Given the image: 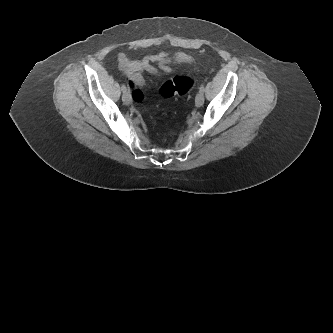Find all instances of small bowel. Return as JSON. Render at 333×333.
Masks as SVG:
<instances>
[{
	"label": "small bowel",
	"mask_w": 333,
	"mask_h": 333,
	"mask_svg": "<svg viewBox=\"0 0 333 333\" xmlns=\"http://www.w3.org/2000/svg\"><path fill=\"white\" fill-rule=\"evenodd\" d=\"M117 61L119 70L130 78L135 101L140 102L144 99L143 88L146 86L143 72H146L151 80H158L163 74L172 72V63H188L192 58L183 52L164 51L147 55L141 60H130L125 54L120 53Z\"/></svg>",
	"instance_id": "1"
}]
</instances>
